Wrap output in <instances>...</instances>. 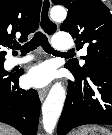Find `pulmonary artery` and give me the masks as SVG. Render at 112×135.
Wrapping results in <instances>:
<instances>
[{"label":"pulmonary artery","instance_id":"e3ab8cb5","mask_svg":"<svg viewBox=\"0 0 112 135\" xmlns=\"http://www.w3.org/2000/svg\"><path fill=\"white\" fill-rule=\"evenodd\" d=\"M52 44L54 48L59 51H68L73 47V40L65 33H57L53 38ZM32 59V56L19 57L13 59L11 63L12 65H21L31 61Z\"/></svg>","mask_w":112,"mask_h":135}]
</instances>
